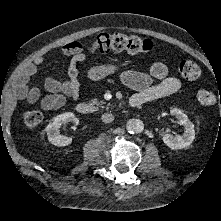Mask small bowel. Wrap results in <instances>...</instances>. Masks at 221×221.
<instances>
[{
    "label": "small bowel",
    "instance_id": "small-bowel-1",
    "mask_svg": "<svg viewBox=\"0 0 221 221\" xmlns=\"http://www.w3.org/2000/svg\"><path fill=\"white\" fill-rule=\"evenodd\" d=\"M61 52L71 58L67 68V78L45 80L44 88L50 92L40 100L41 107L45 110L62 107L65 104V96L73 100L79 97L78 66L86 58L83 47L79 42H69L61 48ZM43 61L42 56L36 57L22 68L18 76L20 96L29 103H36L40 99V89L29 87L28 82ZM121 79L125 85L137 91L134 95L139 96L144 103L170 96L181 88L180 80L170 76L167 66L162 62L153 63L148 73L126 71L122 73ZM154 81L159 82L154 84Z\"/></svg>",
    "mask_w": 221,
    "mask_h": 221
}]
</instances>
